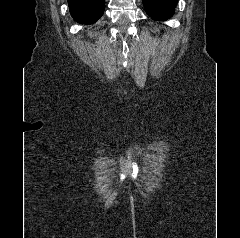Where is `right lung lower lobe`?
Segmentation results:
<instances>
[{
  "label": "right lung lower lobe",
  "instance_id": "right-lung-lower-lobe-1",
  "mask_svg": "<svg viewBox=\"0 0 240 238\" xmlns=\"http://www.w3.org/2000/svg\"><path fill=\"white\" fill-rule=\"evenodd\" d=\"M105 0H68L71 16L79 23L91 24L104 12Z\"/></svg>",
  "mask_w": 240,
  "mask_h": 238
}]
</instances>
